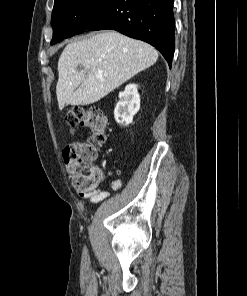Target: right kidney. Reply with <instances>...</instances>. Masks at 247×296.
Masks as SVG:
<instances>
[{
  "label": "right kidney",
  "instance_id": "right-kidney-1",
  "mask_svg": "<svg viewBox=\"0 0 247 296\" xmlns=\"http://www.w3.org/2000/svg\"><path fill=\"white\" fill-rule=\"evenodd\" d=\"M136 84H129L119 93V101L114 109V118L120 125H129L140 109V96Z\"/></svg>",
  "mask_w": 247,
  "mask_h": 296
}]
</instances>
